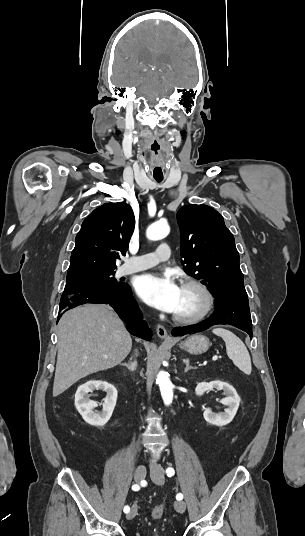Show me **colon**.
Masks as SVG:
<instances>
[{
    "mask_svg": "<svg viewBox=\"0 0 305 536\" xmlns=\"http://www.w3.org/2000/svg\"><path fill=\"white\" fill-rule=\"evenodd\" d=\"M164 512H165V507L163 504L155 505L151 510V517L153 519L161 518Z\"/></svg>",
    "mask_w": 305,
    "mask_h": 536,
    "instance_id": "1",
    "label": "colon"
}]
</instances>
